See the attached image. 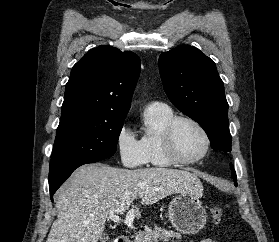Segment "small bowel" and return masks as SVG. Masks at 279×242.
<instances>
[{"label": "small bowel", "mask_w": 279, "mask_h": 242, "mask_svg": "<svg viewBox=\"0 0 279 242\" xmlns=\"http://www.w3.org/2000/svg\"><path fill=\"white\" fill-rule=\"evenodd\" d=\"M200 242H218V241H215V240H212V239H204Z\"/></svg>", "instance_id": "small-bowel-1"}]
</instances>
